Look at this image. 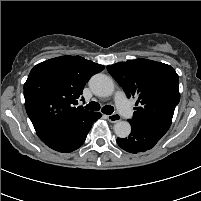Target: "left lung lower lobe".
Returning a JSON list of instances; mask_svg holds the SVG:
<instances>
[{"instance_id": "1", "label": "left lung lower lobe", "mask_w": 201, "mask_h": 201, "mask_svg": "<svg viewBox=\"0 0 201 201\" xmlns=\"http://www.w3.org/2000/svg\"><path fill=\"white\" fill-rule=\"evenodd\" d=\"M131 124V133L128 138H118V145L127 152L136 154L153 148L168 129L152 126Z\"/></svg>"}]
</instances>
